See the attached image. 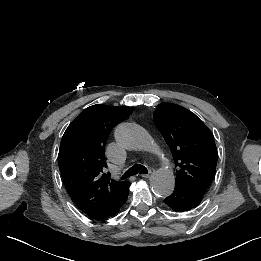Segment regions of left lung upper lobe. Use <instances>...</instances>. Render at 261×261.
<instances>
[{
  "label": "left lung upper lobe",
  "mask_w": 261,
  "mask_h": 261,
  "mask_svg": "<svg viewBox=\"0 0 261 261\" xmlns=\"http://www.w3.org/2000/svg\"><path fill=\"white\" fill-rule=\"evenodd\" d=\"M154 119L178 168L175 186L203 196L217 164L211 131L194 113L173 103L157 105Z\"/></svg>",
  "instance_id": "5c2ea615"
}]
</instances>
